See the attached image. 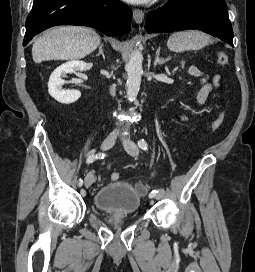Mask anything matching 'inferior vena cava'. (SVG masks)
<instances>
[{
  "label": "inferior vena cava",
  "mask_w": 255,
  "mask_h": 272,
  "mask_svg": "<svg viewBox=\"0 0 255 272\" xmlns=\"http://www.w3.org/2000/svg\"><path fill=\"white\" fill-rule=\"evenodd\" d=\"M115 92H116L115 86H112V87L110 88V93H111V95L114 96V95H115ZM116 131H117V130H116Z\"/></svg>",
  "instance_id": "602c4592"
}]
</instances>
